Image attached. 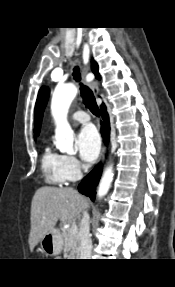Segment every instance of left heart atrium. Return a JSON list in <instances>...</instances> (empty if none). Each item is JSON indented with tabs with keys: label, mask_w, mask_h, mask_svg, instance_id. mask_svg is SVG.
Wrapping results in <instances>:
<instances>
[{
	"label": "left heart atrium",
	"mask_w": 175,
	"mask_h": 287,
	"mask_svg": "<svg viewBox=\"0 0 175 287\" xmlns=\"http://www.w3.org/2000/svg\"><path fill=\"white\" fill-rule=\"evenodd\" d=\"M76 145L81 159L91 163L99 155L101 140L97 131L91 127L83 128L76 138Z\"/></svg>",
	"instance_id": "1"
}]
</instances>
